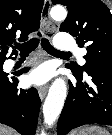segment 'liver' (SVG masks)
Returning a JSON list of instances; mask_svg holds the SVG:
<instances>
[{"instance_id":"1","label":"liver","mask_w":112,"mask_h":135,"mask_svg":"<svg viewBox=\"0 0 112 135\" xmlns=\"http://www.w3.org/2000/svg\"><path fill=\"white\" fill-rule=\"evenodd\" d=\"M0 135H17L13 129L0 124Z\"/></svg>"}]
</instances>
